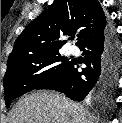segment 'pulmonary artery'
I'll use <instances>...</instances> for the list:
<instances>
[{"label":"pulmonary artery","instance_id":"pulmonary-artery-1","mask_svg":"<svg viewBox=\"0 0 122 123\" xmlns=\"http://www.w3.org/2000/svg\"><path fill=\"white\" fill-rule=\"evenodd\" d=\"M77 52H78L77 47L71 46V47L69 48V53H71V54H76Z\"/></svg>","mask_w":122,"mask_h":123}]
</instances>
